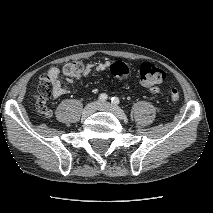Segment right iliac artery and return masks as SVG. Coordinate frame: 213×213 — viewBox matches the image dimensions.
I'll return each instance as SVG.
<instances>
[{"mask_svg":"<svg viewBox=\"0 0 213 213\" xmlns=\"http://www.w3.org/2000/svg\"><path fill=\"white\" fill-rule=\"evenodd\" d=\"M107 98L108 97L105 93L100 94L98 97L99 101H101V102H105L107 100Z\"/></svg>","mask_w":213,"mask_h":213,"instance_id":"82829eb1","label":"right iliac artery"}]
</instances>
